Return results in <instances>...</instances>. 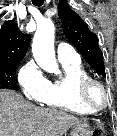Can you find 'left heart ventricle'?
<instances>
[{
  "label": "left heart ventricle",
  "instance_id": "b2bd125f",
  "mask_svg": "<svg viewBox=\"0 0 117 136\" xmlns=\"http://www.w3.org/2000/svg\"><path fill=\"white\" fill-rule=\"evenodd\" d=\"M91 98L94 102L100 103L103 100V95L98 88L94 87L91 90Z\"/></svg>",
  "mask_w": 117,
  "mask_h": 136
}]
</instances>
